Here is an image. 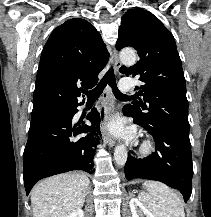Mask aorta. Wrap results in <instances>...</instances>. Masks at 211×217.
Listing matches in <instances>:
<instances>
[{"label":"aorta","instance_id":"obj_1","mask_svg":"<svg viewBox=\"0 0 211 217\" xmlns=\"http://www.w3.org/2000/svg\"><path fill=\"white\" fill-rule=\"evenodd\" d=\"M122 63L133 65L136 63L137 57L133 49H123L119 54ZM114 159L118 166L125 165L127 161V150L124 145H118L114 150Z\"/></svg>","mask_w":211,"mask_h":217}]
</instances>
